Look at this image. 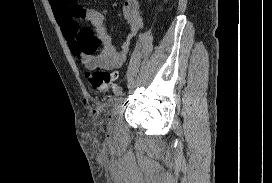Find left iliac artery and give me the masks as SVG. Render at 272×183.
<instances>
[{"mask_svg":"<svg viewBox=\"0 0 272 183\" xmlns=\"http://www.w3.org/2000/svg\"><path fill=\"white\" fill-rule=\"evenodd\" d=\"M122 91H123V89L121 87H118L117 89H115L114 93H115V95L118 96V95L122 94Z\"/></svg>","mask_w":272,"mask_h":183,"instance_id":"obj_1","label":"left iliac artery"}]
</instances>
